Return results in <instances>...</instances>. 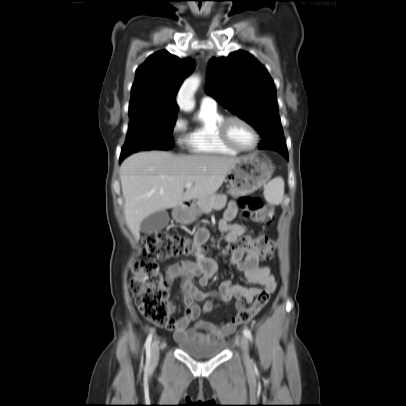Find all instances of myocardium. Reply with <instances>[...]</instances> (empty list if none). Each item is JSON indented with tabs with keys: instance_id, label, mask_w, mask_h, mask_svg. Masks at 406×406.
Wrapping results in <instances>:
<instances>
[{
	"instance_id": "f54148a6",
	"label": "myocardium",
	"mask_w": 406,
	"mask_h": 406,
	"mask_svg": "<svg viewBox=\"0 0 406 406\" xmlns=\"http://www.w3.org/2000/svg\"><path fill=\"white\" fill-rule=\"evenodd\" d=\"M233 121H238L242 124H244L245 126H247L253 133L254 137H255V142L253 144V146L249 147V148H242L239 147L238 145H236L230 138L229 133H228V127L229 124ZM218 133H219V138L220 140L229 148L236 150L238 152H249L254 150L258 144H259V140H260V136L259 133L257 131V129L254 127V125L249 122L248 120H246L245 118L238 116V115H229V116H225L219 126H218Z\"/></svg>"
}]
</instances>
